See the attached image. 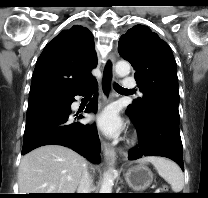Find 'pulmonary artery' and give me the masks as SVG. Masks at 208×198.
<instances>
[{"label": "pulmonary artery", "instance_id": "pulmonary-artery-1", "mask_svg": "<svg viewBox=\"0 0 208 198\" xmlns=\"http://www.w3.org/2000/svg\"><path fill=\"white\" fill-rule=\"evenodd\" d=\"M123 86L126 89H133L136 86L135 80L131 77H127L123 81Z\"/></svg>", "mask_w": 208, "mask_h": 198}]
</instances>
